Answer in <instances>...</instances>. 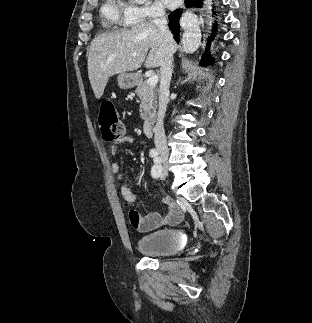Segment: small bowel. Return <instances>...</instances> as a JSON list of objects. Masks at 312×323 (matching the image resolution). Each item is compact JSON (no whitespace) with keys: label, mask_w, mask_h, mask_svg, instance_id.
<instances>
[{"label":"small bowel","mask_w":312,"mask_h":323,"mask_svg":"<svg viewBox=\"0 0 312 323\" xmlns=\"http://www.w3.org/2000/svg\"><path fill=\"white\" fill-rule=\"evenodd\" d=\"M132 141L133 139L130 135H125L110 145L109 152L114 155L117 153L119 146L130 144ZM110 170L111 173L120 180V193L130 210L129 220L134 229L139 232H151L161 227L177 225L182 221L184 217L183 211L172 198H167L165 200L167 210L163 213L153 212L147 215L139 214L136 207L138 196L122 181L119 164L112 163Z\"/></svg>","instance_id":"obj_1"}]
</instances>
